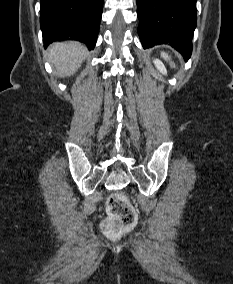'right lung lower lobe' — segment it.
Listing matches in <instances>:
<instances>
[{"label": "right lung lower lobe", "mask_w": 233, "mask_h": 284, "mask_svg": "<svg viewBox=\"0 0 233 284\" xmlns=\"http://www.w3.org/2000/svg\"><path fill=\"white\" fill-rule=\"evenodd\" d=\"M103 0H41L40 26L44 47L53 41L78 40L94 49Z\"/></svg>", "instance_id": "1"}]
</instances>
